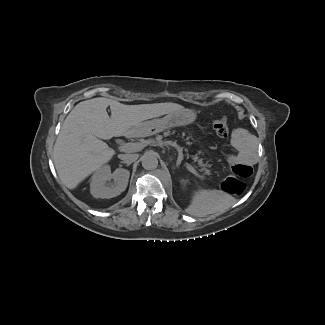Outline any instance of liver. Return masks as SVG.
<instances>
[{
  "instance_id": "obj_1",
  "label": "liver",
  "mask_w": 325,
  "mask_h": 325,
  "mask_svg": "<svg viewBox=\"0 0 325 325\" xmlns=\"http://www.w3.org/2000/svg\"><path fill=\"white\" fill-rule=\"evenodd\" d=\"M110 106L111 117L106 109ZM175 111L193 113L177 103L125 105L98 97L78 103L68 114L54 145L53 162L60 180L75 189L86 177L111 160L115 151L100 139L140 137L133 128L147 119Z\"/></svg>"
}]
</instances>
